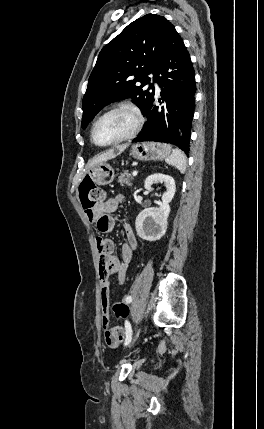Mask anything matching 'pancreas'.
Returning <instances> with one entry per match:
<instances>
[{"instance_id": "pancreas-1", "label": "pancreas", "mask_w": 264, "mask_h": 429, "mask_svg": "<svg viewBox=\"0 0 264 429\" xmlns=\"http://www.w3.org/2000/svg\"><path fill=\"white\" fill-rule=\"evenodd\" d=\"M131 179H132L131 174L128 173L127 171L120 173V175L118 176V182L120 183L121 186H124V185L131 186Z\"/></svg>"}]
</instances>
